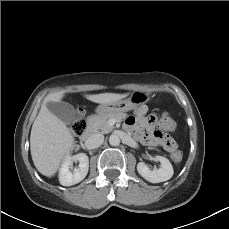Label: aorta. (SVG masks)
I'll use <instances>...</instances> for the list:
<instances>
[{
    "instance_id": "aorta-1",
    "label": "aorta",
    "mask_w": 229,
    "mask_h": 229,
    "mask_svg": "<svg viewBox=\"0 0 229 229\" xmlns=\"http://www.w3.org/2000/svg\"><path fill=\"white\" fill-rule=\"evenodd\" d=\"M109 143L111 146H118L120 144V138L118 135L112 134L109 137Z\"/></svg>"
}]
</instances>
